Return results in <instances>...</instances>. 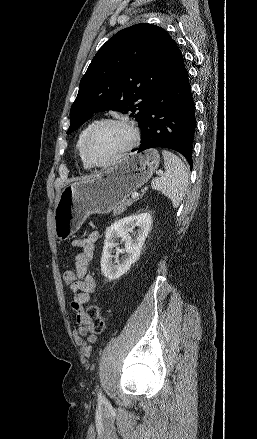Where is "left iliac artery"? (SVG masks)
<instances>
[{"label":"left iliac artery","mask_w":257,"mask_h":439,"mask_svg":"<svg viewBox=\"0 0 257 439\" xmlns=\"http://www.w3.org/2000/svg\"><path fill=\"white\" fill-rule=\"evenodd\" d=\"M98 400L99 401H104L105 400V397L102 395L101 392L98 393Z\"/></svg>","instance_id":"1"}]
</instances>
